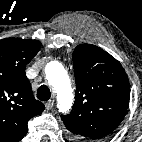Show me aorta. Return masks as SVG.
<instances>
[{"mask_svg": "<svg viewBox=\"0 0 142 142\" xmlns=\"http://www.w3.org/2000/svg\"><path fill=\"white\" fill-rule=\"evenodd\" d=\"M46 78L58 98V109L64 113L73 104V89L64 66L57 61L50 62L45 68Z\"/></svg>", "mask_w": 142, "mask_h": 142, "instance_id": "obj_1", "label": "aorta"}]
</instances>
